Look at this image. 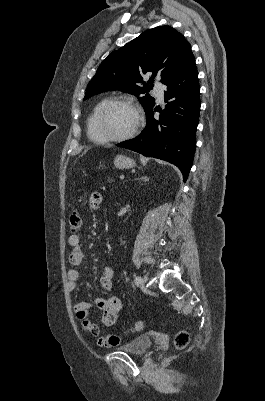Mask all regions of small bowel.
Segmentation results:
<instances>
[{
  "mask_svg": "<svg viewBox=\"0 0 265 401\" xmlns=\"http://www.w3.org/2000/svg\"><path fill=\"white\" fill-rule=\"evenodd\" d=\"M102 203V195L98 192L91 194L89 206L97 210ZM68 244L71 248L68 254V262L71 266H78L83 262L84 253L81 248V238L77 234L68 237ZM114 271L111 267H104L99 278V287L101 291L110 294L109 298L93 297L89 301L74 304L73 310L77 318L81 321L84 330L93 336L98 337L97 343L101 347L111 348L121 343V338L117 335H101L98 326L88 319V315L93 307L101 311V321L106 327H112L117 322L123 304L119 297L112 295ZM68 288L73 291L76 288L79 279V273L75 268L67 271Z\"/></svg>",
  "mask_w": 265,
  "mask_h": 401,
  "instance_id": "1",
  "label": "small bowel"
}]
</instances>
